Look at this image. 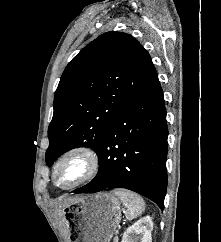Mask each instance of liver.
<instances>
[{
    "instance_id": "6515ba94",
    "label": "liver",
    "mask_w": 221,
    "mask_h": 242,
    "mask_svg": "<svg viewBox=\"0 0 221 242\" xmlns=\"http://www.w3.org/2000/svg\"><path fill=\"white\" fill-rule=\"evenodd\" d=\"M71 201H72V199H65V200L61 201L59 203V212L61 213V208L62 207L65 208L69 204V202H71Z\"/></svg>"
}]
</instances>
